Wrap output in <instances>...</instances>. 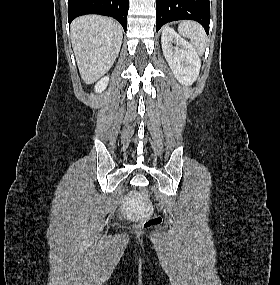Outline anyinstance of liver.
I'll list each match as a JSON object with an SVG mask.
<instances>
[{
    "mask_svg": "<svg viewBox=\"0 0 280 285\" xmlns=\"http://www.w3.org/2000/svg\"><path fill=\"white\" fill-rule=\"evenodd\" d=\"M122 37L120 25L107 17L86 15L72 22V47L86 84L109 71L120 51Z\"/></svg>",
    "mask_w": 280,
    "mask_h": 285,
    "instance_id": "1",
    "label": "liver"
}]
</instances>
